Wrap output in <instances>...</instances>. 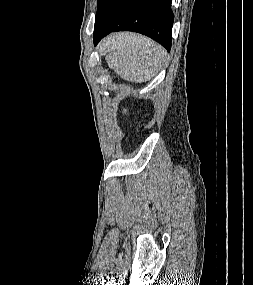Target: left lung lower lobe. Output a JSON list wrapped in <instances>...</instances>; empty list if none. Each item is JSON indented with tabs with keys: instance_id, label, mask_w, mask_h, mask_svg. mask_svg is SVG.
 I'll use <instances>...</instances> for the list:
<instances>
[{
	"instance_id": "0a47b994",
	"label": "left lung lower lobe",
	"mask_w": 253,
	"mask_h": 285,
	"mask_svg": "<svg viewBox=\"0 0 253 285\" xmlns=\"http://www.w3.org/2000/svg\"><path fill=\"white\" fill-rule=\"evenodd\" d=\"M172 0H107L95 19L94 44L114 31L144 34L170 51Z\"/></svg>"
}]
</instances>
